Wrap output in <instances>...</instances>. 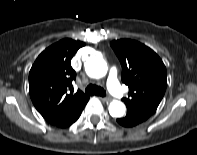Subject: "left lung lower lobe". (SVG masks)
<instances>
[{
    "label": "left lung lower lobe",
    "mask_w": 197,
    "mask_h": 155,
    "mask_svg": "<svg viewBox=\"0 0 197 155\" xmlns=\"http://www.w3.org/2000/svg\"><path fill=\"white\" fill-rule=\"evenodd\" d=\"M144 121L145 120H143L141 117L131 112H127V115L125 117L117 119V122L124 127H133Z\"/></svg>",
    "instance_id": "left-lung-lower-lobe-1"
}]
</instances>
